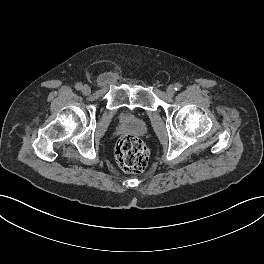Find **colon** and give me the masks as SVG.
<instances>
[{
	"label": "colon",
	"mask_w": 264,
	"mask_h": 264,
	"mask_svg": "<svg viewBox=\"0 0 264 264\" xmlns=\"http://www.w3.org/2000/svg\"><path fill=\"white\" fill-rule=\"evenodd\" d=\"M114 157L123 171L140 173L147 166L149 154L141 139L133 135H124L116 142Z\"/></svg>",
	"instance_id": "5ec220e1"
}]
</instances>
